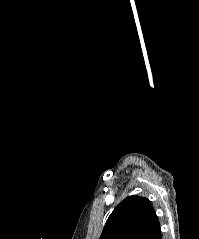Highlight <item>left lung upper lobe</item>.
I'll use <instances>...</instances> for the list:
<instances>
[{
  "label": "left lung upper lobe",
  "instance_id": "obj_1",
  "mask_svg": "<svg viewBox=\"0 0 199 239\" xmlns=\"http://www.w3.org/2000/svg\"><path fill=\"white\" fill-rule=\"evenodd\" d=\"M159 229L151 202L132 195L110 214L99 239H154Z\"/></svg>",
  "mask_w": 199,
  "mask_h": 239
}]
</instances>
